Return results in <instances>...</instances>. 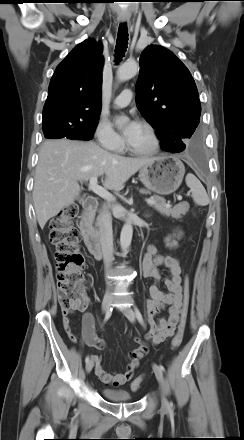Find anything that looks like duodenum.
Instances as JSON below:
<instances>
[{"label":"duodenum","mask_w":244,"mask_h":440,"mask_svg":"<svg viewBox=\"0 0 244 440\" xmlns=\"http://www.w3.org/2000/svg\"><path fill=\"white\" fill-rule=\"evenodd\" d=\"M98 204V200L95 197H88L86 199L83 205V211L79 222V229L91 255L100 260L102 258L101 244L98 235L94 231L92 225L94 214L98 208Z\"/></svg>","instance_id":"obj_1"}]
</instances>
